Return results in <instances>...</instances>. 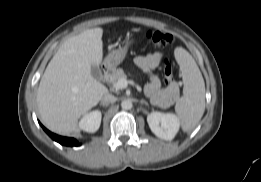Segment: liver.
I'll list each match as a JSON object with an SVG mask.
<instances>
[{
  "instance_id": "6515ba94",
  "label": "liver",
  "mask_w": 261,
  "mask_h": 182,
  "mask_svg": "<svg viewBox=\"0 0 261 182\" xmlns=\"http://www.w3.org/2000/svg\"><path fill=\"white\" fill-rule=\"evenodd\" d=\"M103 29L94 28L67 39L41 77L37 104L44 125L51 131L78 132V119L108 93L91 75L103 58Z\"/></svg>"
}]
</instances>
